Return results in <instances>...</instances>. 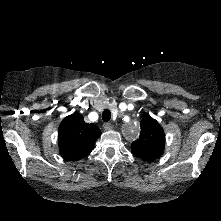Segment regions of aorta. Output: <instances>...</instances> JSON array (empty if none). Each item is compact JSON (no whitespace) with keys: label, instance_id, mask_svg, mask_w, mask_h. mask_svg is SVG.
Wrapping results in <instances>:
<instances>
[{"label":"aorta","instance_id":"aorta-1","mask_svg":"<svg viewBox=\"0 0 221 221\" xmlns=\"http://www.w3.org/2000/svg\"><path fill=\"white\" fill-rule=\"evenodd\" d=\"M124 134L128 139L133 140L137 138L139 134V129L135 125H128L124 130Z\"/></svg>","mask_w":221,"mask_h":221}]
</instances>
